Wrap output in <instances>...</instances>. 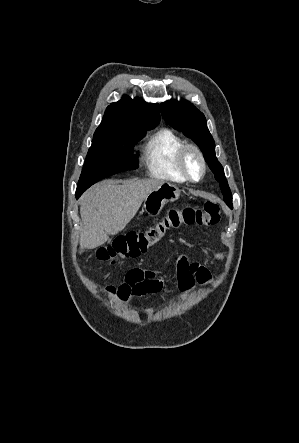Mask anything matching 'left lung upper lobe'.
Segmentation results:
<instances>
[{"instance_id": "obj_1", "label": "left lung upper lobe", "mask_w": 299, "mask_h": 443, "mask_svg": "<svg viewBox=\"0 0 299 443\" xmlns=\"http://www.w3.org/2000/svg\"><path fill=\"white\" fill-rule=\"evenodd\" d=\"M160 108L163 118L170 126L182 131L200 147L206 162L220 183L224 201L231 207V190L222 165L215 156V143L207 128L205 116L187 101L178 102L172 99L162 103Z\"/></svg>"}]
</instances>
